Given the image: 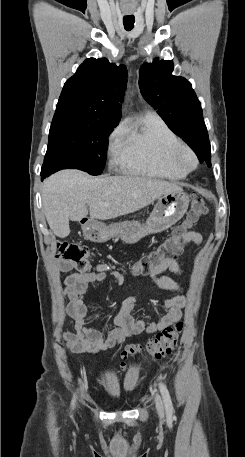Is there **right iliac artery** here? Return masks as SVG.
Returning <instances> with one entry per match:
<instances>
[{"label":"right iliac artery","mask_w":245,"mask_h":457,"mask_svg":"<svg viewBox=\"0 0 245 457\" xmlns=\"http://www.w3.org/2000/svg\"><path fill=\"white\" fill-rule=\"evenodd\" d=\"M74 403H75V399L72 400V406H74Z\"/></svg>","instance_id":"obj_1"}]
</instances>
